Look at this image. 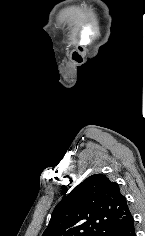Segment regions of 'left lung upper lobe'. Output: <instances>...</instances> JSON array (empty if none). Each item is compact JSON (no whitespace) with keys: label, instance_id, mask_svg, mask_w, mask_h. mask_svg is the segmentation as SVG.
Segmentation results:
<instances>
[{"label":"left lung upper lobe","instance_id":"left-lung-upper-lobe-1","mask_svg":"<svg viewBox=\"0 0 145 236\" xmlns=\"http://www.w3.org/2000/svg\"><path fill=\"white\" fill-rule=\"evenodd\" d=\"M131 216L118 184L95 174L55 207L42 236H114Z\"/></svg>","mask_w":145,"mask_h":236}]
</instances>
